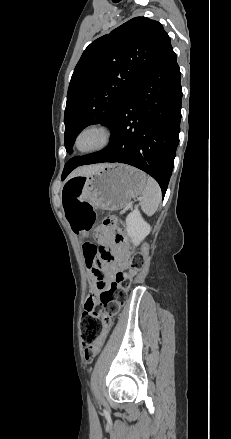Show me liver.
Here are the masks:
<instances>
[{
    "mask_svg": "<svg viewBox=\"0 0 231 439\" xmlns=\"http://www.w3.org/2000/svg\"><path fill=\"white\" fill-rule=\"evenodd\" d=\"M108 164H97V165H90V166H84L79 167L75 169L69 176L68 179H71L76 176H89L90 174L104 168Z\"/></svg>",
    "mask_w": 231,
    "mask_h": 439,
    "instance_id": "6515ba94",
    "label": "liver"
}]
</instances>
